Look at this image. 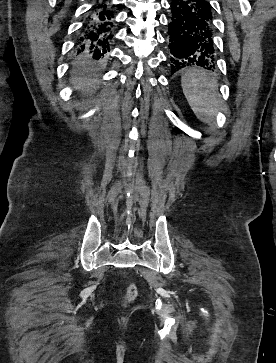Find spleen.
<instances>
[{
	"instance_id": "obj_1",
	"label": "spleen",
	"mask_w": 276,
	"mask_h": 363,
	"mask_svg": "<svg viewBox=\"0 0 276 363\" xmlns=\"http://www.w3.org/2000/svg\"><path fill=\"white\" fill-rule=\"evenodd\" d=\"M181 84L197 118L204 123L213 122L221 102L215 78L204 70L191 69L182 76Z\"/></svg>"
}]
</instances>
